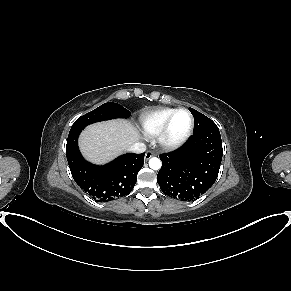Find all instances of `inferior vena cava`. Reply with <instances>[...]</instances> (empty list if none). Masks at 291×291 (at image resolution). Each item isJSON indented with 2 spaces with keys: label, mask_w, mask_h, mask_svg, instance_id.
Instances as JSON below:
<instances>
[{
  "label": "inferior vena cava",
  "mask_w": 291,
  "mask_h": 291,
  "mask_svg": "<svg viewBox=\"0 0 291 291\" xmlns=\"http://www.w3.org/2000/svg\"><path fill=\"white\" fill-rule=\"evenodd\" d=\"M128 150L133 153H143L146 150V145L144 143L136 142L131 145Z\"/></svg>",
  "instance_id": "inferior-vena-cava-1"
}]
</instances>
